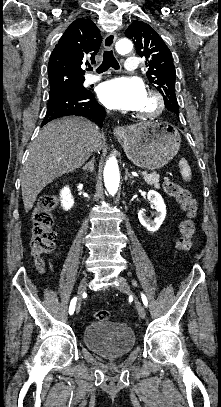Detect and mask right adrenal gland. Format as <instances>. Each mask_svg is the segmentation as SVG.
Returning a JSON list of instances; mask_svg holds the SVG:
<instances>
[{
	"instance_id": "1",
	"label": "right adrenal gland",
	"mask_w": 221,
	"mask_h": 407,
	"mask_svg": "<svg viewBox=\"0 0 221 407\" xmlns=\"http://www.w3.org/2000/svg\"><path fill=\"white\" fill-rule=\"evenodd\" d=\"M94 163H95V157H92L91 161L86 163L83 166V170H87V171L93 173L94 172Z\"/></svg>"
}]
</instances>
